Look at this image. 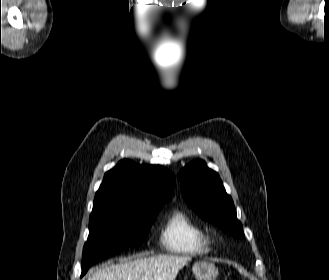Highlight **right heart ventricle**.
Returning a JSON list of instances; mask_svg holds the SVG:
<instances>
[{"label":"right heart ventricle","instance_id":"obj_1","mask_svg":"<svg viewBox=\"0 0 329 280\" xmlns=\"http://www.w3.org/2000/svg\"><path fill=\"white\" fill-rule=\"evenodd\" d=\"M161 241L171 253L202 255L210 250V239L204 228L183 210H175L170 215Z\"/></svg>","mask_w":329,"mask_h":280}]
</instances>
